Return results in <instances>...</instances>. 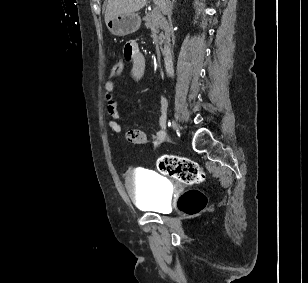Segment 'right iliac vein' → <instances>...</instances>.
<instances>
[{"label": "right iliac vein", "mask_w": 308, "mask_h": 283, "mask_svg": "<svg viewBox=\"0 0 308 283\" xmlns=\"http://www.w3.org/2000/svg\"><path fill=\"white\" fill-rule=\"evenodd\" d=\"M173 127L177 130L179 129V125L177 124L175 120L173 121Z\"/></svg>", "instance_id": "63e3f726"}]
</instances>
